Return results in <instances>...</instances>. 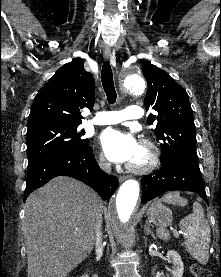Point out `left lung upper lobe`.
Returning <instances> with one entry per match:
<instances>
[{
	"mask_svg": "<svg viewBox=\"0 0 221 277\" xmlns=\"http://www.w3.org/2000/svg\"><path fill=\"white\" fill-rule=\"evenodd\" d=\"M142 71L148 83L145 108L157 112L149 114L147 122L157 124L154 133L162 142L161 164L180 163L200 172L193 110L186 90L149 62L143 63Z\"/></svg>",
	"mask_w": 221,
	"mask_h": 277,
	"instance_id": "obj_1",
	"label": "left lung upper lobe"
}]
</instances>
